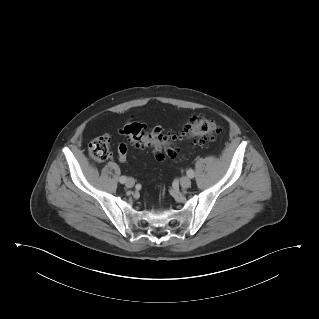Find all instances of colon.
<instances>
[{
    "label": "colon",
    "instance_id": "1",
    "mask_svg": "<svg viewBox=\"0 0 319 319\" xmlns=\"http://www.w3.org/2000/svg\"><path fill=\"white\" fill-rule=\"evenodd\" d=\"M222 127L212 119L203 115L193 116L179 135H172L160 127H150L138 121L128 122L122 129L126 138L138 149H151L154 157L159 160L176 159L179 150L177 141L192 139L201 143L216 139L222 133ZM90 156L97 161H105L110 157V146L107 137L93 139L88 147ZM118 155L121 161L127 157V146L120 144Z\"/></svg>",
    "mask_w": 319,
    "mask_h": 319
}]
</instances>
